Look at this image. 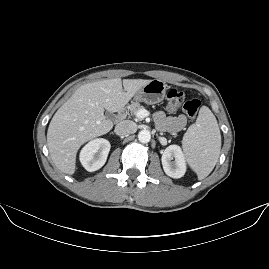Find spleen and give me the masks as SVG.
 Listing matches in <instances>:
<instances>
[{
    "label": "spleen",
    "mask_w": 269,
    "mask_h": 269,
    "mask_svg": "<svg viewBox=\"0 0 269 269\" xmlns=\"http://www.w3.org/2000/svg\"><path fill=\"white\" fill-rule=\"evenodd\" d=\"M183 146L198 178L207 177L216 165L221 149L217 120L208 107L200 108L196 121L183 137Z\"/></svg>",
    "instance_id": "1"
}]
</instances>
